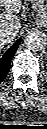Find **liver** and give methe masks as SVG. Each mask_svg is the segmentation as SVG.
<instances>
[{"label": "liver", "mask_w": 47, "mask_h": 129, "mask_svg": "<svg viewBox=\"0 0 47 129\" xmlns=\"http://www.w3.org/2000/svg\"><path fill=\"white\" fill-rule=\"evenodd\" d=\"M21 7L22 0H0V8L5 10L4 13L0 14V31L7 29L17 35L21 27L20 19L18 17ZM10 42L0 40V49L3 48L5 43Z\"/></svg>", "instance_id": "1"}]
</instances>
